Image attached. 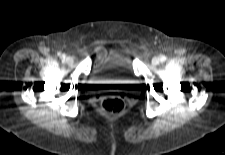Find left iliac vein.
I'll return each instance as SVG.
<instances>
[{
  "mask_svg": "<svg viewBox=\"0 0 225 155\" xmlns=\"http://www.w3.org/2000/svg\"><path fill=\"white\" fill-rule=\"evenodd\" d=\"M159 63H160L159 57H154V58L152 59V64L158 65Z\"/></svg>",
  "mask_w": 225,
  "mask_h": 155,
  "instance_id": "4c4485c4",
  "label": "left iliac vein"
}]
</instances>
